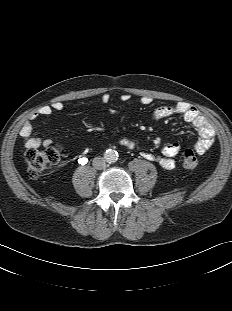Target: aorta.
Masks as SVG:
<instances>
[{"mask_svg":"<svg viewBox=\"0 0 232 311\" xmlns=\"http://www.w3.org/2000/svg\"><path fill=\"white\" fill-rule=\"evenodd\" d=\"M104 159L108 163H114L118 160V153L113 149H108L104 153Z\"/></svg>","mask_w":232,"mask_h":311,"instance_id":"1","label":"aorta"}]
</instances>
